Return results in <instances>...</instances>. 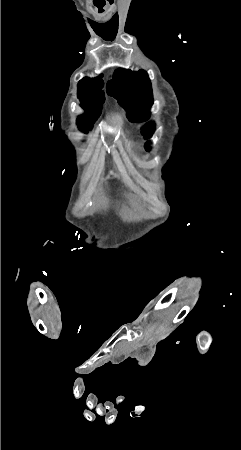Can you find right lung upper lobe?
<instances>
[{"instance_id":"obj_1","label":"right lung upper lobe","mask_w":241,"mask_h":450,"mask_svg":"<svg viewBox=\"0 0 241 450\" xmlns=\"http://www.w3.org/2000/svg\"><path fill=\"white\" fill-rule=\"evenodd\" d=\"M98 79H100L102 82H103V80L101 79V77H97ZM104 83V82H103Z\"/></svg>"}]
</instances>
